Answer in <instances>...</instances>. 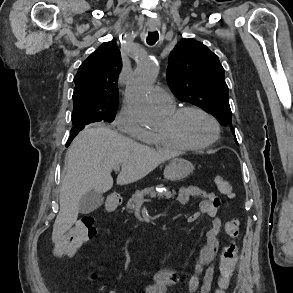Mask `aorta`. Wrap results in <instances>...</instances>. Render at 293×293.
Listing matches in <instances>:
<instances>
[{
  "mask_svg": "<svg viewBox=\"0 0 293 293\" xmlns=\"http://www.w3.org/2000/svg\"><path fill=\"white\" fill-rule=\"evenodd\" d=\"M158 75V65L152 57H144L138 64L126 87L128 107L144 125H154L157 116L148 93Z\"/></svg>",
  "mask_w": 293,
  "mask_h": 293,
  "instance_id": "1",
  "label": "aorta"
}]
</instances>
